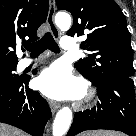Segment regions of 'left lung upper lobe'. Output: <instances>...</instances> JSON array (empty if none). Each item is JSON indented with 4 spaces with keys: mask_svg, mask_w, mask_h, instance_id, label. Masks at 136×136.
<instances>
[{
    "mask_svg": "<svg viewBox=\"0 0 136 136\" xmlns=\"http://www.w3.org/2000/svg\"><path fill=\"white\" fill-rule=\"evenodd\" d=\"M59 10L71 12L73 26L69 36L87 34L82 48L90 58L79 60L75 67L88 79L132 78V47L126 18L114 0H56Z\"/></svg>",
    "mask_w": 136,
    "mask_h": 136,
    "instance_id": "5c2ea615",
    "label": "left lung upper lobe"
}]
</instances>
